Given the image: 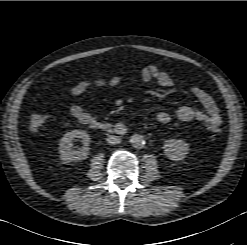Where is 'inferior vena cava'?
Segmentation results:
<instances>
[{"mask_svg": "<svg viewBox=\"0 0 247 245\" xmlns=\"http://www.w3.org/2000/svg\"><path fill=\"white\" fill-rule=\"evenodd\" d=\"M107 142H108L110 145H115V144L121 143V139H120L119 136L109 135V136L107 137Z\"/></svg>", "mask_w": 247, "mask_h": 245, "instance_id": "inferior-vena-cava-1", "label": "inferior vena cava"}]
</instances>
